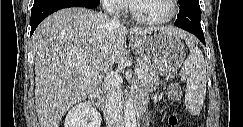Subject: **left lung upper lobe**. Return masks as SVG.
<instances>
[{
    "mask_svg": "<svg viewBox=\"0 0 243 127\" xmlns=\"http://www.w3.org/2000/svg\"><path fill=\"white\" fill-rule=\"evenodd\" d=\"M184 1H185V0H179V4L182 3V2H184Z\"/></svg>",
    "mask_w": 243,
    "mask_h": 127,
    "instance_id": "left-lung-upper-lobe-1",
    "label": "left lung upper lobe"
}]
</instances>
